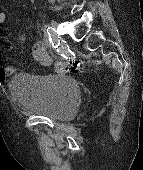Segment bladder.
<instances>
[{
  "label": "bladder",
  "mask_w": 143,
  "mask_h": 170,
  "mask_svg": "<svg viewBox=\"0 0 143 170\" xmlns=\"http://www.w3.org/2000/svg\"><path fill=\"white\" fill-rule=\"evenodd\" d=\"M9 91L20 109L59 121L73 118L81 101L77 81L65 73H19Z\"/></svg>",
  "instance_id": "obj_1"
}]
</instances>
